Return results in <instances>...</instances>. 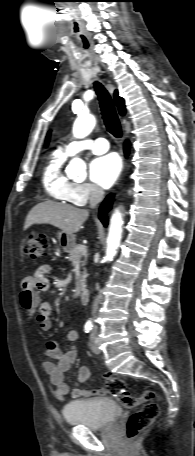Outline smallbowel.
Instances as JSON below:
<instances>
[{
	"mask_svg": "<svg viewBox=\"0 0 195 456\" xmlns=\"http://www.w3.org/2000/svg\"><path fill=\"white\" fill-rule=\"evenodd\" d=\"M50 267L48 265L40 266L34 275L26 276L20 283V304L26 313L33 318L44 331L51 328V305L48 302H41L38 292L48 289L50 282L48 279ZM78 334L75 330H69L66 339L69 345L63 350L56 341H49L46 345L44 356L47 358L43 362V368L49 375L50 380L55 388L56 396L64 400L69 394V387L65 383V373L76 361L77 350L75 342ZM90 379V371L87 367H80L77 373L76 386L71 391L73 398L102 396L105 390L101 387L94 389H84L81 384Z\"/></svg>",
	"mask_w": 195,
	"mask_h": 456,
	"instance_id": "1",
	"label": "small bowel"
}]
</instances>
